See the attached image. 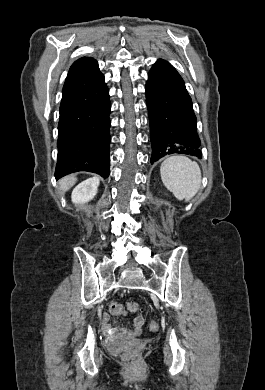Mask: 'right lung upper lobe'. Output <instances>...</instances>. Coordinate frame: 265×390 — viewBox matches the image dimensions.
I'll use <instances>...</instances> for the list:
<instances>
[{
	"label": "right lung upper lobe",
	"instance_id": "right-lung-upper-lobe-1",
	"mask_svg": "<svg viewBox=\"0 0 265 390\" xmlns=\"http://www.w3.org/2000/svg\"><path fill=\"white\" fill-rule=\"evenodd\" d=\"M95 60L93 58H89V57H83V58H80L78 59L77 61H75L72 66L70 67V70H69V73H72L74 71H76L77 69H80L82 67H85L91 63H93Z\"/></svg>",
	"mask_w": 265,
	"mask_h": 390
}]
</instances>
